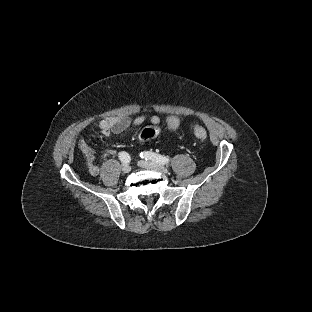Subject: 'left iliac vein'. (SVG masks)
<instances>
[{"instance_id":"1","label":"left iliac vein","mask_w":312,"mask_h":312,"mask_svg":"<svg viewBox=\"0 0 312 312\" xmlns=\"http://www.w3.org/2000/svg\"><path fill=\"white\" fill-rule=\"evenodd\" d=\"M139 166L142 168L158 171V172H161L164 174H167L169 172V170L166 167H164L163 165L157 164V163L152 162V161H141L139 163Z\"/></svg>"}]
</instances>
